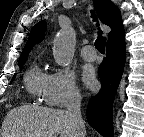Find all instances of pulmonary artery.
<instances>
[{
    "mask_svg": "<svg viewBox=\"0 0 144 137\" xmlns=\"http://www.w3.org/2000/svg\"><path fill=\"white\" fill-rule=\"evenodd\" d=\"M81 56L86 61H95L97 58L96 51L91 45H86L81 49Z\"/></svg>",
    "mask_w": 144,
    "mask_h": 137,
    "instance_id": "1",
    "label": "pulmonary artery"
}]
</instances>
